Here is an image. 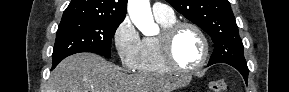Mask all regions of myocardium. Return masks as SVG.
<instances>
[{"mask_svg": "<svg viewBox=\"0 0 289 92\" xmlns=\"http://www.w3.org/2000/svg\"><path fill=\"white\" fill-rule=\"evenodd\" d=\"M184 28L194 30L200 37L203 45V53L199 64L191 69H184L180 67L173 56V44L177 34ZM158 44L160 53L165 65L171 72L179 74H194L200 71L207 63L210 46L209 41L204 31L196 24L191 22H174L173 24L165 27L158 37Z\"/></svg>", "mask_w": 289, "mask_h": 92, "instance_id": "1", "label": "myocardium"}]
</instances>
